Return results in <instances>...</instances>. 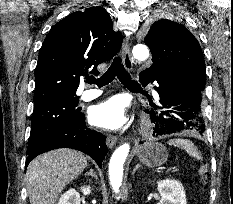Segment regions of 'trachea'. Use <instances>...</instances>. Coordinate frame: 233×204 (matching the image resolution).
<instances>
[{"label": "trachea", "instance_id": "1", "mask_svg": "<svg viewBox=\"0 0 233 204\" xmlns=\"http://www.w3.org/2000/svg\"><path fill=\"white\" fill-rule=\"evenodd\" d=\"M115 77H117L119 81L127 88L140 89V85L136 81L131 80V76L125 70L120 56L114 58L111 66L100 78L96 79L95 77H89L87 78L86 82L90 84L95 83L98 87H103L112 82Z\"/></svg>", "mask_w": 233, "mask_h": 204}]
</instances>
